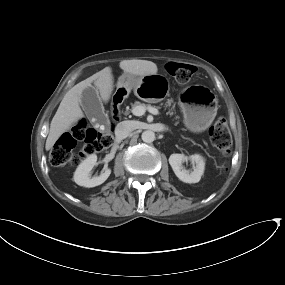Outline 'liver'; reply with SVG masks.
I'll use <instances>...</instances> for the list:
<instances>
[{
  "label": "liver",
  "instance_id": "1",
  "mask_svg": "<svg viewBox=\"0 0 285 285\" xmlns=\"http://www.w3.org/2000/svg\"><path fill=\"white\" fill-rule=\"evenodd\" d=\"M119 67L126 73L138 76L157 74V65L147 60H122ZM113 75L110 67H105L89 78L73 86L62 99L59 108L54 115L49 134L46 140L45 149L48 151L53 148L56 141L67 132L71 126L84 117L81 110V96L83 90L94 83L100 92L104 102H108L113 91Z\"/></svg>",
  "mask_w": 285,
  "mask_h": 285
}]
</instances>
